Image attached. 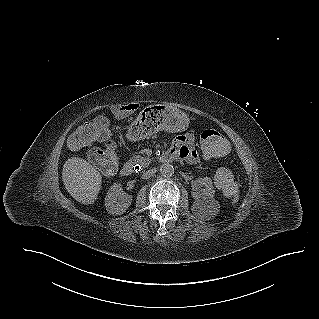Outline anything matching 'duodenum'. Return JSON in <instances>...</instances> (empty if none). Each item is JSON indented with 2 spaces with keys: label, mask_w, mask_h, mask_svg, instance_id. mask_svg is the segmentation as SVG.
<instances>
[{
  "label": "duodenum",
  "mask_w": 319,
  "mask_h": 319,
  "mask_svg": "<svg viewBox=\"0 0 319 319\" xmlns=\"http://www.w3.org/2000/svg\"><path fill=\"white\" fill-rule=\"evenodd\" d=\"M175 158L174 154L170 151L164 152L158 157L160 162H167ZM134 172V166L132 164L126 163L121 168V175L124 177L131 176Z\"/></svg>",
  "instance_id": "1"
}]
</instances>
